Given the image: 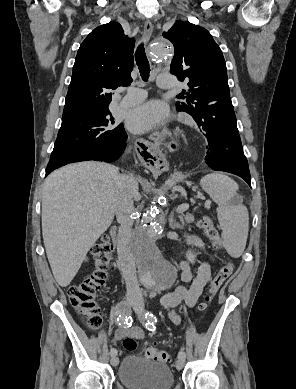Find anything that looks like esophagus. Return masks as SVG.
I'll return each mask as SVG.
<instances>
[{
	"label": "esophagus",
	"instance_id": "esophagus-1",
	"mask_svg": "<svg viewBox=\"0 0 296 389\" xmlns=\"http://www.w3.org/2000/svg\"><path fill=\"white\" fill-rule=\"evenodd\" d=\"M152 32L153 24L150 20H146L143 31V39L145 42L150 39ZM156 136L159 139H168L171 136V129L168 126H159L156 129ZM134 145L138 148L144 169H162V171L168 169L164 153L146 135H137L134 138Z\"/></svg>",
	"mask_w": 296,
	"mask_h": 389
}]
</instances>
